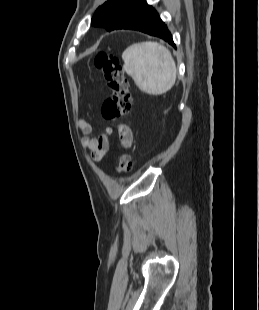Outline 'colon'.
<instances>
[{"mask_svg": "<svg viewBox=\"0 0 259 310\" xmlns=\"http://www.w3.org/2000/svg\"><path fill=\"white\" fill-rule=\"evenodd\" d=\"M94 64L102 74L110 91V96L102 104L101 114L111 127H115L119 120L131 110L132 97L129 82L115 54L99 52L94 58ZM131 170L132 157L128 153H123L119 159L117 173L123 175Z\"/></svg>", "mask_w": 259, "mask_h": 310, "instance_id": "1", "label": "colon"}]
</instances>
